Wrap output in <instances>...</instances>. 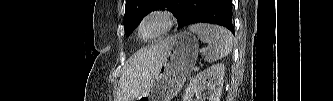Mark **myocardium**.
Masks as SVG:
<instances>
[{
    "label": "myocardium",
    "mask_w": 333,
    "mask_h": 101,
    "mask_svg": "<svg viewBox=\"0 0 333 101\" xmlns=\"http://www.w3.org/2000/svg\"><path fill=\"white\" fill-rule=\"evenodd\" d=\"M150 19H159L162 21L163 26L156 34L150 37H143L142 35V27L143 25ZM175 17L173 13L166 9H157L147 12L142 18L139 20L137 25V34L144 41H153L158 39L164 35H166L174 26Z\"/></svg>",
    "instance_id": "myocardium-1"
}]
</instances>
